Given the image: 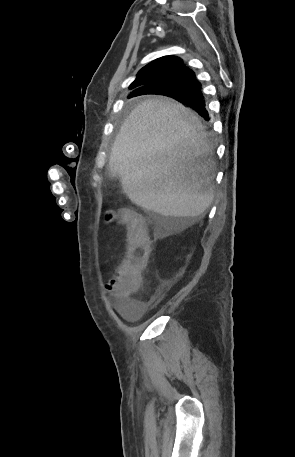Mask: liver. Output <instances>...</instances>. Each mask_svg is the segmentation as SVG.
<instances>
[{
    "label": "liver",
    "mask_w": 295,
    "mask_h": 457,
    "mask_svg": "<svg viewBox=\"0 0 295 457\" xmlns=\"http://www.w3.org/2000/svg\"><path fill=\"white\" fill-rule=\"evenodd\" d=\"M199 117L168 98L136 106L112 146L108 170L136 205L162 216L195 218L214 198V162Z\"/></svg>",
    "instance_id": "liver-1"
}]
</instances>
